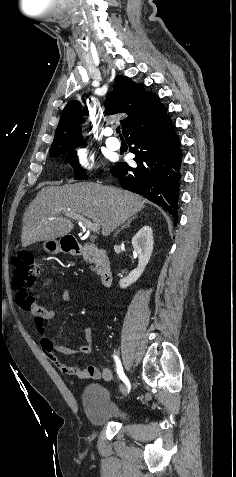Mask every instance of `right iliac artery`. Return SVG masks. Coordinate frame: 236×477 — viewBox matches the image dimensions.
I'll return each mask as SVG.
<instances>
[{
    "label": "right iliac artery",
    "instance_id": "1",
    "mask_svg": "<svg viewBox=\"0 0 236 477\" xmlns=\"http://www.w3.org/2000/svg\"><path fill=\"white\" fill-rule=\"evenodd\" d=\"M113 357H114V360H115V362H116L117 374H118L119 378L126 384V386H127V387L129 386V387H130V388L128 389V392H129L130 389H131V385H130L129 380H128V378L126 377V375H125V373H124V371H123L121 362H120L119 358H118L116 355H113ZM126 397L128 398L129 396L127 395Z\"/></svg>",
    "mask_w": 236,
    "mask_h": 477
}]
</instances>
